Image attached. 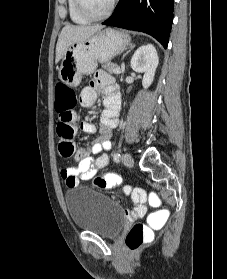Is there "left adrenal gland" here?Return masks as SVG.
I'll list each match as a JSON object with an SVG mask.
<instances>
[{
  "instance_id": "a2214340",
  "label": "left adrenal gland",
  "mask_w": 227,
  "mask_h": 279,
  "mask_svg": "<svg viewBox=\"0 0 227 279\" xmlns=\"http://www.w3.org/2000/svg\"><path fill=\"white\" fill-rule=\"evenodd\" d=\"M135 47L134 44H130L129 50L123 55V58Z\"/></svg>"
}]
</instances>
